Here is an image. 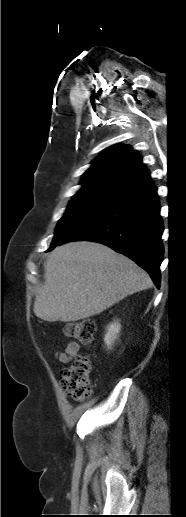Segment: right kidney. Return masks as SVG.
I'll use <instances>...</instances> for the list:
<instances>
[{
	"label": "right kidney",
	"mask_w": 186,
	"mask_h": 517,
	"mask_svg": "<svg viewBox=\"0 0 186 517\" xmlns=\"http://www.w3.org/2000/svg\"><path fill=\"white\" fill-rule=\"evenodd\" d=\"M121 325L118 321H114L110 325L107 326L106 334L104 337L105 345L108 349H112V347L119 342V333H120Z\"/></svg>",
	"instance_id": "ca27d5eb"
}]
</instances>
